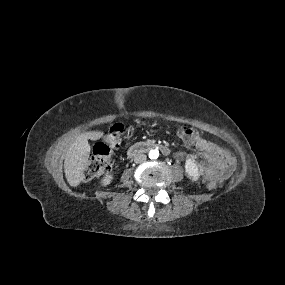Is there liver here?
Instances as JSON below:
<instances>
[{
	"mask_svg": "<svg viewBox=\"0 0 285 285\" xmlns=\"http://www.w3.org/2000/svg\"><path fill=\"white\" fill-rule=\"evenodd\" d=\"M102 136V132H85L70 145L64 160V172L70 186L77 187L83 180V171L91 151L88 140H97Z\"/></svg>",
	"mask_w": 285,
	"mask_h": 285,
	"instance_id": "obj_1",
	"label": "liver"
}]
</instances>
